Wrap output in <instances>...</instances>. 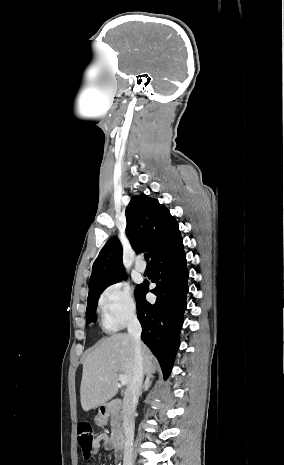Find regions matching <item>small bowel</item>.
I'll return each instance as SVG.
<instances>
[{
    "label": "small bowel",
    "instance_id": "c3829d8e",
    "mask_svg": "<svg viewBox=\"0 0 284 465\" xmlns=\"http://www.w3.org/2000/svg\"><path fill=\"white\" fill-rule=\"evenodd\" d=\"M101 446H103L106 449H108L109 446H110L109 437L105 433L100 434L95 438L94 447H93V454H97L98 451L100 450Z\"/></svg>",
    "mask_w": 284,
    "mask_h": 465
}]
</instances>
